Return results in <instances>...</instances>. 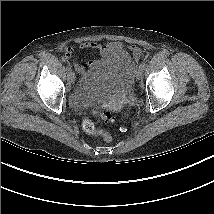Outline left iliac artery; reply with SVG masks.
Listing matches in <instances>:
<instances>
[{"instance_id":"obj_1","label":"left iliac artery","mask_w":214,"mask_h":214,"mask_svg":"<svg viewBox=\"0 0 214 214\" xmlns=\"http://www.w3.org/2000/svg\"><path fill=\"white\" fill-rule=\"evenodd\" d=\"M145 65H146L145 62H142V63L139 65V68H140V69H144Z\"/></svg>"}]
</instances>
